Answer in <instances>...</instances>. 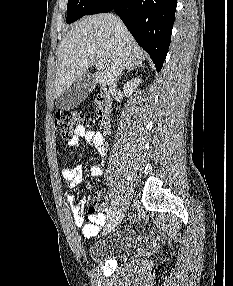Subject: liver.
<instances>
[{"instance_id":"1","label":"liver","mask_w":233,"mask_h":286,"mask_svg":"<svg viewBox=\"0 0 233 286\" xmlns=\"http://www.w3.org/2000/svg\"><path fill=\"white\" fill-rule=\"evenodd\" d=\"M113 14L86 16L75 23L58 46V66L53 97L58 98L98 60L105 62L93 74L96 84L111 85L121 72L142 64L146 54L127 28Z\"/></svg>"}]
</instances>
